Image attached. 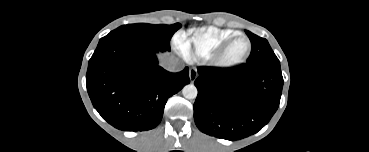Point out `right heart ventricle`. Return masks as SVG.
Wrapping results in <instances>:
<instances>
[{
    "mask_svg": "<svg viewBox=\"0 0 369 152\" xmlns=\"http://www.w3.org/2000/svg\"><path fill=\"white\" fill-rule=\"evenodd\" d=\"M238 33L232 29L207 26L191 29L180 35L177 41L184 55L208 60L224 41Z\"/></svg>",
    "mask_w": 369,
    "mask_h": 152,
    "instance_id": "1",
    "label": "right heart ventricle"
}]
</instances>
